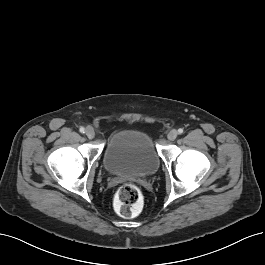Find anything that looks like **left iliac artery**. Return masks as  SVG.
I'll list each match as a JSON object with an SVG mask.
<instances>
[{
    "mask_svg": "<svg viewBox=\"0 0 265 265\" xmlns=\"http://www.w3.org/2000/svg\"><path fill=\"white\" fill-rule=\"evenodd\" d=\"M178 133L182 134L183 133V129L182 128L178 129Z\"/></svg>",
    "mask_w": 265,
    "mask_h": 265,
    "instance_id": "obj_1",
    "label": "left iliac artery"
}]
</instances>
